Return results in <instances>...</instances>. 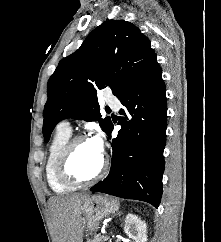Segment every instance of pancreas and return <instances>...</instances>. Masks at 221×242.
Returning a JSON list of instances; mask_svg holds the SVG:
<instances>
[{"label": "pancreas", "instance_id": "1", "mask_svg": "<svg viewBox=\"0 0 221 242\" xmlns=\"http://www.w3.org/2000/svg\"><path fill=\"white\" fill-rule=\"evenodd\" d=\"M106 239L99 234H95L92 239H88L87 242H104Z\"/></svg>", "mask_w": 221, "mask_h": 242}]
</instances>
